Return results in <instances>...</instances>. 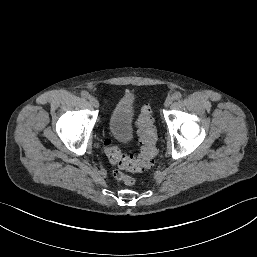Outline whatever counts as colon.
<instances>
[{
	"instance_id": "1",
	"label": "colon",
	"mask_w": 257,
	"mask_h": 257,
	"mask_svg": "<svg viewBox=\"0 0 257 257\" xmlns=\"http://www.w3.org/2000/svg\"><path fill=\"white\" fill-rule=\"evenodd\" d=\"M138 134L141 143V152L138 156L123 153L110 138L104 140L105 154L109 161L117 167L113 173L114 177L128 186L133 185L135 180L126 175L124 171H144L152 165L157 153V134L149 106L141 109L138 119Z\"/></svg>"
}]
</instances>
